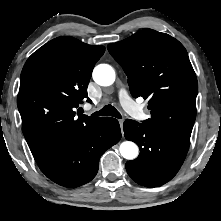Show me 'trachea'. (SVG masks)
Here are the masks:
<instances>
[{
    "label": "trachea",
    "mask_w": 221,
    "mask_h": 221,
    "mask_svg": "<svg viewBox=\"0 0 221 221\" xmlns=\"http://www.w3.org/2000/svg\"><path fill=\"white\" fill-rule=\"evenodd\" d=\"M113 116L118 119H121V114L117 111V109L111 105L104 106L101 110L93 113V116Z\"/></svg>",
    "instance_id": "obj_1"
}]
</instances>
